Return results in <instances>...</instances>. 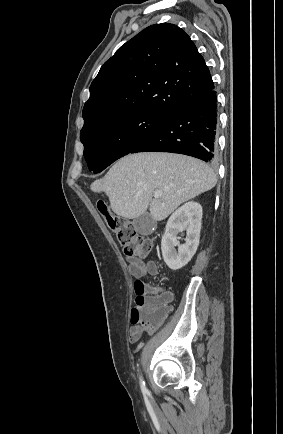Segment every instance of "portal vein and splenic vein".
<instances>
[{
	"mask_svg": "<svg viewBox=\"0 0 283 434\" xmlns=\"http://www.w3.org/2000/svg\"><path fill=\"white\" fill-rule=\"evenodd\" d=\"M153 195H154V198H159V197H161V192L155 191Z\"/></svg>",
	"mask_w": 283,
	"mask_h": 434,
	"instance_id": "18ae733b",
	"label": "portal vein and splenic vein"
}]
</instances>
